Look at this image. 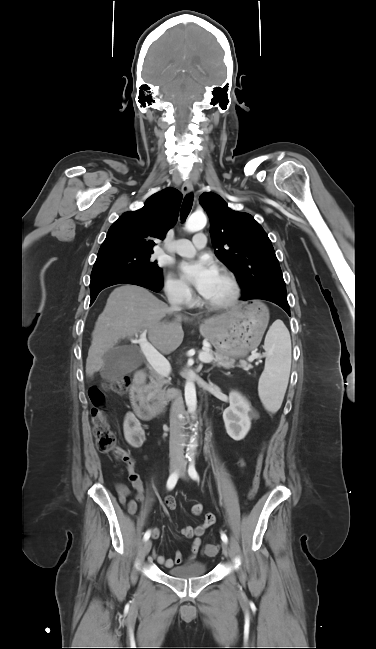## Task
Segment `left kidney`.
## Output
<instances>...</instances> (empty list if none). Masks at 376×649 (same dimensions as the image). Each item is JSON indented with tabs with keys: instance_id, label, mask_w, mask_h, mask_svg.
<instances>
[{
	"instance_id": "obj_1",
	"label": "left kidney",
	"mask_w": 376,
	"mask_h": 649,
	"mask_svg": "<svg viewBox=\"0 0 376 649\" xmlns=\"http://www.w3.org/2000/svg\"><path fill=\"white\" fill-rule=\"evenodd\" d=\"M229 407L223 412L227 434L234 440L243 439L251 428L249 418L250 404L239 392L229 394Z\"/></svg>"
}]
</instances>
